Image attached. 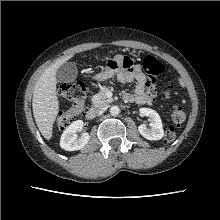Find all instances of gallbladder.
Returning <instances> with one entry per match:
<instances>
[{
    "instance_id": "1",
    "label": "gallbladder",
    "mask_w": 220,
    "mask_h": 220,
    "mask_svg": "<svg viewBox=\"0 0 220 220\" xmlns=\"http://www.w3.org/2000/svg\"><path fill=\"white\" fill-rule=\"evenodd\" d=\"M77 67L75 63L66 62L62 64L56 71V80L60 83L74 82L77 78Z\"/></svg>"
}]
</instances>
